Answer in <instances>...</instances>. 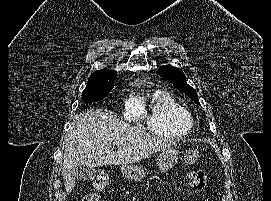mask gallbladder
<instances>
[{"label":"gallbladder","mask_w":271,"mask_h":201,"mask_svg":"<svg viewBox=\"0 0 271 201\" xmlns=\"http://www.w3.org/2000/svg\"><path fill=\"white\" fill-rule=\"evenodd\" d=\"M99 170L95 168L87 167L85 165H79L76 167L75 176L79 180H94L98 175Z\"/></svg>","instance_id":"1"}]
</instances>
